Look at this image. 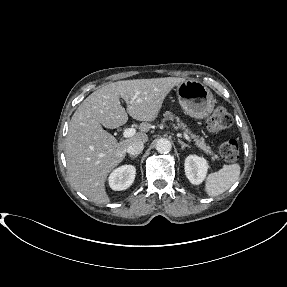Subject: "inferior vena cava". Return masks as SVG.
<instances>
[{
    "label": "inferior vena cava",
    "mask_w": 287,
    "mask_h": 287,
    "mask_svg": "<svg viewBox=\"0 0 287 287\" xmlns=\"http://www.w3.org/2000/svg\"><path fill=\"white\" fill-rule=\"evenodd\" d=\"M144 149V143L142 141H133L129 144L127 147V152L130 155H138L140 154Z\"/></svg>",
    "instance_id": "1"
}]
</instances>
